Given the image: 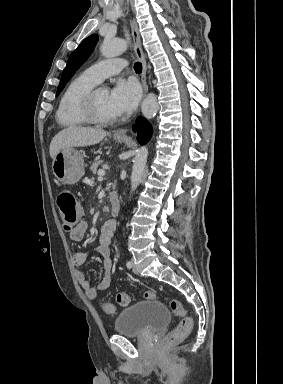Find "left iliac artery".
I'll return each mask as SVG.
<instances>
[{
    "label": "left iliac artery",
    "instance_id": "left-iliac-artery-1",
    "mask_svg": "<svg viewBox=\"0 0 283 384\" xmlns=\"http://www.w3.org/2000/svg\"><path fill=\"white\" fill-rule=\"evenodd\" d=\"M126 266H127V268H131V267H132V262H131V261H128V262L126 263Z\"/></svg>",
    "mask_w": 283,
    "mask_h": 384
}]
</instances>
